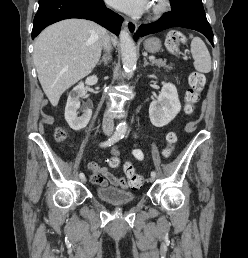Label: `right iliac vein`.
Listing matches in <instances>:
<instances>
[{
    "mask_svg": "<svg viewBox=\"0 0 248 258\" xmlns=\"http://www.w3.org/2000/svg\"><path fill=\"white\" fill-rule=\"evenodd\" d=\"M86 181H87V179L85 177L81 179L82 183H86Z\"/></svg>",
    "mask_w": 248,
    "mask_h": 258,
    "instance_id": "63e3f726",
    "label": "right iliac vein"
}]
</instances>
